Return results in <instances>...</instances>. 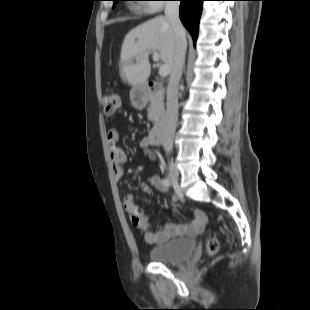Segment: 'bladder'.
I'll return each instance as SVG.
<instances>
[{
  "label": "bladder",
  "instance_id": "bladder-1",
  "mask_svg": "<svg viewBox=\"0 0 310 310\" xmlns=\"http://www.w3.org/2000/svg\"><path fill=\"white\" fill-rule=\"evenodd\" d=\"M196 249V242L190 238L171 239L149 250L152 262L178 264L188 260Z\"/></svg>",
  "mask_w": 310,
  "mask_h": 310
}]
</instances>
